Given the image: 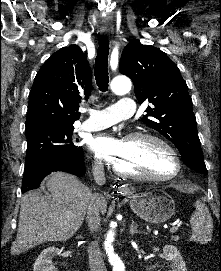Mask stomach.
<instances>
[{"label": "stomach", "instance_id": "stomach-1", "mask_svg": "<svg viewBox=\"0 0 221 271\" xmlns=\"http://www.w3.org/2000/svg\"><path fill=\"white\" fill-rule=\"evenodd\" d=\"M129 205L136 215L149 223L167 221L175 211L173 197L159 187H151L145 193H131Z\"/></svg>", "mask_w": 221, "mask_h": 271}]
</instances>
